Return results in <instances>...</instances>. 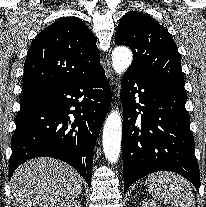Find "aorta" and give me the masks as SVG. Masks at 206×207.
<instances>
[{
  "mask_svg": "<svg viewBox=\"0 0 206 207\" xmlns=\"http://www.w3.org/2000/svg\"><path fill=\"white\" fill-rule=\"evenodd\" d=\"M132 62V53L126 47H117L112 53V66L116 73H124ZM122 122L120 113L112 110L103 128V151L111 164H115L120 155Z\"/></svg>",
  "mask_w": 206,
  "mask_h": 207,
  "instance_id": "aorta-1",
  "label": "aorta"
}]
</instances>
